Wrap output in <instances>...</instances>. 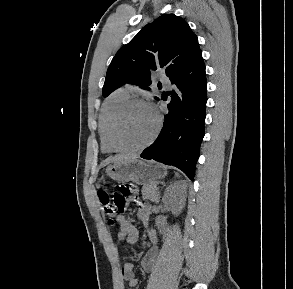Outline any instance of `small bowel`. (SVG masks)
<instances>
[{
	"label": "small bowel",
	"mask_w": 293,
	"mask_h": 289,
	"mask_svg": "<svg viewBox=\"0 0 293 289\" xmlns=\"http://www.w3.org/2000/svg\"><path fill=\"white\" fill-rule=\"evenodd\" d=\"M151 215V207L145 204H140L138 210L139 219L147 227V237L151 243L148 251L146 252L141 266L146 272H150L154 269L155 261L158 255L157 246V234L156 231L148 227L149 218ZM119 222V231L116 235V239L119 243L134 244L138 241L139 233L135 226L131 224L123 215L119 214L117 216ZM122 280L127 282L131 288H136L138 285V280L134 274V267L132 263H125L121 268Z\"/></svg>",
	"instance_id": "obj_1"
}]
</instances>
